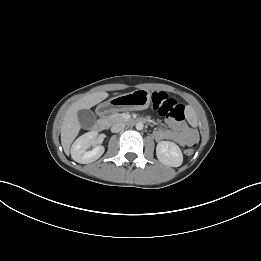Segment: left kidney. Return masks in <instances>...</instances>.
Returning a JSON list of instances; mask_svg holds the SVG:
<instances>
[{
	"label": "left kidney",
	"instance_id": "left-kidney-1",
	"mask_svg": "<svg viewBox=\"0 0 261 261\" xmlns=\"http://www.w3.org/2000/svg\"><path fill=\"white\" fill-rule=\"evenodd\" d=\"M156 155L158 160L167 166L179 167L183 162L181 149L170 141L159 142L156 147Z\"/></svg>",
	"mask_w": 261,
	"mask_h": 261
}]
</instances>
